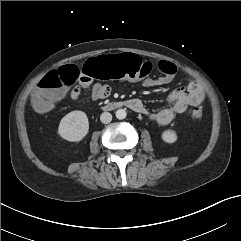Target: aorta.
Listing matches in <instances>:
<instances>
[{
	"label": "aorta",
	"instance_id": "aorta-1",
	"mask_svg": "<svg viewBox=\"0 0 241 241\" xmlns=\"http://www.w3.org/2000/svg\"><path fill=\"white\" fill-rule=\"evenodd\" d=\"M116 118L119 120L125 119L127 116V113L124 109H118L115 113Z\"/></svg>",
	"mask_w": 241,
	"mask_h": 241
}]
</instances>
